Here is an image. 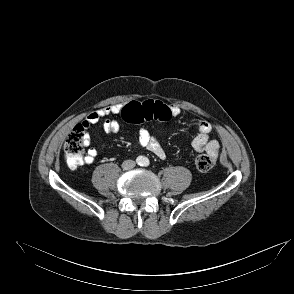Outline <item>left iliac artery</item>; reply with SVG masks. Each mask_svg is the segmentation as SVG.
<instances>
[{"label":"left iliac artery","instance_id":"left-iliac-artery-1","mask_svg":"<svg viewBox=\"0 0 294 294\" xmlns=\"http://www.w3.org/2000/svg\"><path fill=\"white\" fill-rule=\"evenodd\" d=\"M149 164H150V162H149L148 159H145V160L143 161V166L147 167V166H149Z\"/></svg>","mask_w":294,"mask_h":294}]
</instances>
